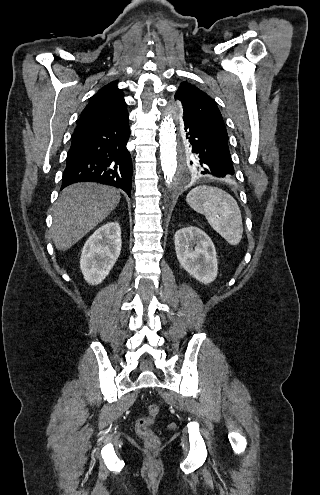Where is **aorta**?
Returning <instances> with one entry per match:
<instances>
[{"label":"aorta","instance_id":"762f6f07","mask_svg":"<svg viewBox=\"0 0 320 495\" xmlns=\"http://www.w3.org/2000/svg\"><path fill=\"white\" fill-rule=\"evenodd\" d=\"M180 112V106L178 104H172L165 118L163 119L160 131H159V143H160V159L161 167L164 174V178L167 183H171L174 180L177 170V142H176V123L175 114ZM189 177L181 180L179 185L188 181ZM161 208V206H160Z\"/></svg>","mask_w":320,"mask_h":495}]
</instances>
